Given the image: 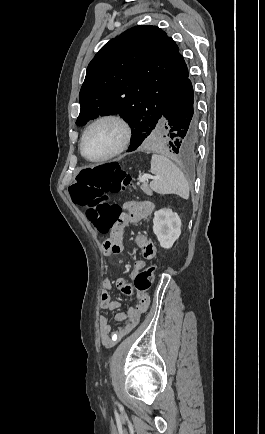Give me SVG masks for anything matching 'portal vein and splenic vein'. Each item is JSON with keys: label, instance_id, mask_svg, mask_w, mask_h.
Listing matches in <instances>:
<instances>
[{"label": "portal vein and splenic vein", "instance_id": "18ae733b", "mask_svg": "<svg viewBox=\"0 0 265 434\" xmlns=\"http://www.w3.org/2000/svg\"><path fill=\"white\" fill-rule=\"evenodd\" d=\"M146 180H155L154 176H150V174H144L142 178H140V182H146Z\"/></svg>", "mask_w": 265, "mask_h": 434}]
</instances>
